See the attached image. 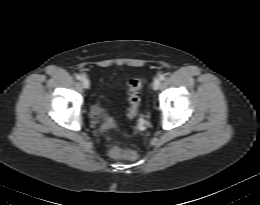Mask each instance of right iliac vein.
Here are the masks:
<instances>
[{
  "label": "right iliac vein",
  "instance_id": "obj_1",
  "mask_svg": "<svg viewBox=\"0 0 260 205\" xmlns=\"http://www.w3.org/2000/svg\"><path fill=\"white\" fill-rule=\"evenodd\" d=\"M81 84L85 89H88L90 87V81L87 78H82Z\"/></svg>",
  "mask_w": 260,
  "mask_h": 205
}]
</instances>
